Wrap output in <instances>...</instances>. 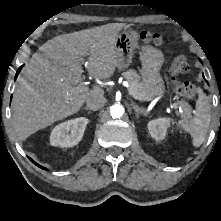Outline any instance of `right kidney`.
I'll use <instances>...</instances> for the list:
<instances>
[{"label": "right kidney", "mask_w": 221, "mask_h": 221, "mask_svg": "<svg viewBox=\"0 0 221 221\" xmlns=\"http://www.w3.org/2000/svg\"><path fill=\"white\" fill-rule=\"evenodd\" d=\"M88 122L87 118L80 117L58 124L52 129L50 144L62 148L77 145L83 137Z\"/></svg>", "instance_id": "1"}]
</instances>
